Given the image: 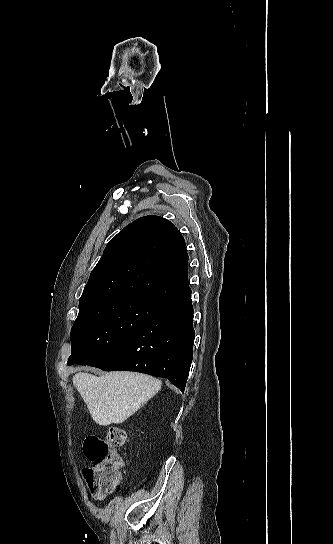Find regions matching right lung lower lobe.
I'll return each instance as SVG.
<instances>
[{"instance_id":"1","label":"right lung lower lobe","mask_w":333,"mask_h":544,"mask_svg":"<svg viewBox=\"0 0 333 544\" xmlns=\"http://www.w3.org/2000/svg\"><path fill=\"white\" fill-rule=\"evenodd\" d=\"M191 293L170 302L137 332L80 365L167 378L184 391L193 357Z\"/></svg>"}]
</instances>
